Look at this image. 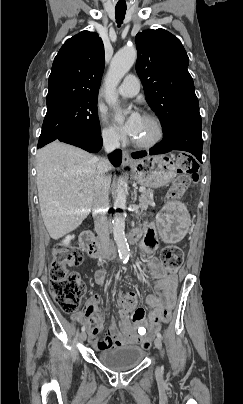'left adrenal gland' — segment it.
<instances>
[{
    "label": "left adrenal gland",
    "instance_id": "a2214340",
    "mask_svg": "<svg viewBox=\"0 0 243 404\" xmlns=\"http://www.w3.org/2000/svg\"><path fill=\"white\" fill-rule=\"evenodd\" d=\"M134 194H135L134 202H136V200H137V190H134Z\"/></svg>",
    "mask_w": 243,
    "mask_h": 404
}]
</instances>
